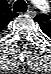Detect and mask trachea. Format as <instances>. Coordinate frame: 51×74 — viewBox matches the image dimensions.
Listing matches in <instances>:
<instances>
[{"label": "trachea", "instance_id": "trachea-1", "mask_svg": "<svg viewBox=\"0 0 51 74\" xmlns=\"http://www.w3.org/2000/svg\"><path fill=\"white\" fill-rule=\"evenodd\" d=\"M27 10V4L24 0H17L13 5V11L21 12Z\"/></svg>", "mask_w": 51, "mask_h": 74}]
</instances>
